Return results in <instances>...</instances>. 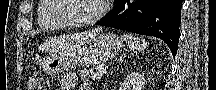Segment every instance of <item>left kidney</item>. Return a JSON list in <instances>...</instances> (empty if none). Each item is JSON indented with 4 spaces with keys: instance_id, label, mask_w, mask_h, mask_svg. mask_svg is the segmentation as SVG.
<instances>
[{
    "instance_id": "obj_1",
    "label": "left kidney",
    "mask_w": 216,
    "mask_h": 90,
    "mask_svg": "<svg viewBox=\"0 0 216 90\" xmlns=\"http://www.w3.org/2000/svg\"><path fill=\"white\" fill-rule=\"evenodd\" d=\"M145 82L144 74H141V72H131V74L123 80L120 90H143Z\"/></svg>"
}]
</instances>
